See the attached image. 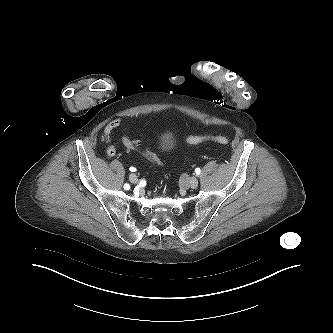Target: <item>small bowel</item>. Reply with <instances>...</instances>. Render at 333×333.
I'll return each instance as SVG.
<instances>
[{
	"mask_svg": "<svg viewBox=\"0 0 333 333\" xmlns=\"http://www.w3.org/2000/svg\"><path fill=\"white\" fill-rule=\"evenodd\" d=\"M121 118L111 120L104 128L101 141L105 146V153L108 157H113L116 154V149L111 143V135L115 129L121 125Z\"/></svg>",
	"mask_w": 333,
	"mask_h": 333,
	"instance_id": "obj_1",
	"label": "small bowel"
}]
</instances>
